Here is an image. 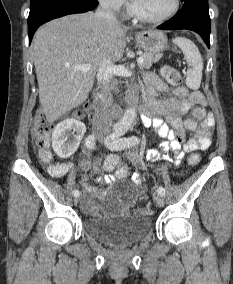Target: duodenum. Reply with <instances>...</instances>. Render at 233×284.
I'll return each mask as SVG.
<instances>
[{
  "mask_svg": "<svg viewBox=\"0 0 233 284\" xmlns=\"http://www.w3.org/2000/svg\"><path fill=\"white\" fill-rule=\"evenodd\" d=\"M101 97H102V91H101V85H99V87H98V89L95 93V99H96L97 105H99Z\"/></svg>",
  "mask_w": 233,
  "mask_h": 284,
  "instance_id": "duodenum-1",
  "label": "duodenum"
}]
</instances>
